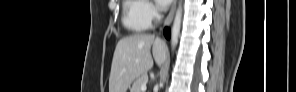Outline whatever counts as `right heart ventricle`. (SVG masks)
Returning a JSON list of instances; mask_svg holds the SVG:
<instances>
[{"mask_svg":"<svg viewBox=\"0 0 296 92\" xmlns=\"http://www.w3.org/2000/svg\"><path fill=\"white\" fill-rule=\"evenodd\" d=\"M142 1L127 0L124 2L123 25L129 31L139 33L145 31L149 24L141 14Z\"/></svg>","mask_w":296,"mask_h":92,"instance_id":"e07e8e85","label":"right heart ventricle"}]
</instances>
